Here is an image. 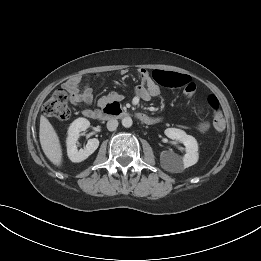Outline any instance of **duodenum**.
<instances>
[{
    "label": "duodenum",
    "mask_w": 261,
    "mask_h": 261,
    "mask_svg": "<svg viewBox=\"0 0 261 261\" xmlns=\"http://www.w3.org/2000/svg\"><path fill=\"white\" fill-rule=\"evenodd\" d=\"M87 116L94 119L126 117L128 116V112L124 110L118 102H109L100 110L89 111ZM138 118L144 123L151 122V119L144 114L138 115Z\"/></svg>",
    "instance_id": "obj_1"
}]
</instances>
